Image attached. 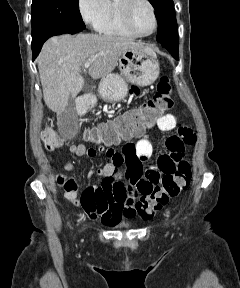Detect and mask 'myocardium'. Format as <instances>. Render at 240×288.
<instances>
[{
  "instance_id": "myocardium-1",
  "label": "myocardium",
  "mask_w": 240,
  "mask_h": 288,
  "mask_svg": "<svg viewBox=\"0 0 240 288\" xmlns=\"http://www.w3.org/2000/svg\"><path fill=\"white\" fill-rule=\"evenodd\" d=\"M138 3L147 4L149 6L151 12H152V15H153L154 28L148 34L138 33L134 29L133 24H132L133 10ZM119 8H120L122 23H123L124 27L130 33H132L135 37H140V38L150 37V36L154 35L156 33V31L158 30L159 22H158L157 12H156V9H155L153 3L150 0H119Z\"/></svg>"
}]
</instances>
